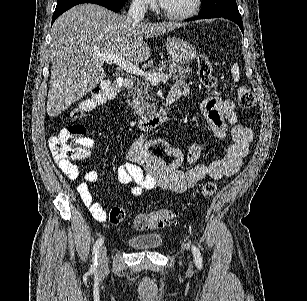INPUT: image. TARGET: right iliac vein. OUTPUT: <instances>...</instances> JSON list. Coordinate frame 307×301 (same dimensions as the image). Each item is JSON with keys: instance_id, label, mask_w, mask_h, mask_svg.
Segmentation results:
<instances>
[{"instance_id": "1", "label": "right iliac vein", "mask_w": 307, "mask_h": 301, "mask_svg": "<svg viewBox=\"0 0 307 301\" xmlns=\"http://www.w3.org/2000/svg\"><path fill=\"white\" fill-rule=\"evenodd\" d=\"M108 266V256L106 246H102L99 252L98 268L100 271H104Z\"/></svg>"}]
</instances>
